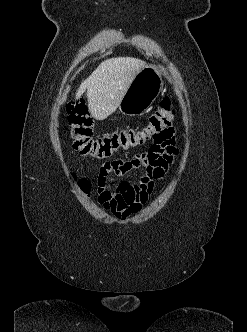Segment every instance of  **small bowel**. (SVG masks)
<instances>
[{
  "label": "small bowel",
  "mask_w": 247,
  "mask_h": 332,
  "mask_svg": "<svg viewBox=\"0 0 247 332\" xmlns=\"http://www.w3.org/2000/svg\"><path fill=\"white\" fill-rule=\"evenodd\" d=\"M177 154L174 137L167 144L154 145L147 152L132 158L122 154L101 163L97 178L99 203L118 218L138 212L157 181L164 177ZM144 168L140 179L131 183L125 179L136 168Z\"/></svg>",
  "instance_id": "small-bowel-1"
}]
</instances>
